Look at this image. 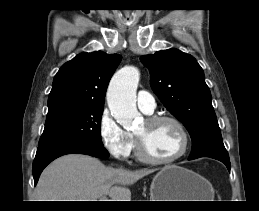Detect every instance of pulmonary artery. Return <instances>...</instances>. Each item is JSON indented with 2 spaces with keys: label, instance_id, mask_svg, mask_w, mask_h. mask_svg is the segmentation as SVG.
<instances>
[{
  "label": "pulmonary artery",
  "instance_id": "1",
  "mask_svg": "<svg viewBox=\"0 0 259 211\" xmlns=\"http://www.w3.org/2000/svg\"><path fill=\"white\" fill-rule=\"evenodd\" d=\"M137 105L145 114H151L156 108L154 97L147 91L141 90L137 94Z\"/></svg>",
  "mask_w": 259,
  "mask_h": 211
}]
</instances>
